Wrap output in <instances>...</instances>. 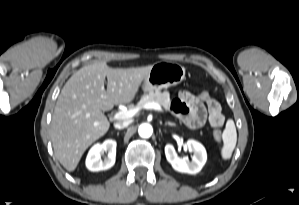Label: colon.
<instances>
[{
	"instance_id": "5ec220e1",
	"label": "colon",
	"mask_w": 299,
	"mask_h": 205,
	"mask_svg": "<svg viewBox=\"0 0 299 205\" xmlns=\"http://www.w3.org/2000/svg\"><path fill=\"white\" fill-rule=\"evenodd\" d=\"M200 98L203 100H209L210 95L207 91H201L199 94ZM213 137L216 141L220 142L222 140V132L220 129H215L213 131Z\"/></svg>"
}]
</instances>
